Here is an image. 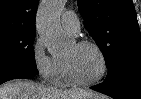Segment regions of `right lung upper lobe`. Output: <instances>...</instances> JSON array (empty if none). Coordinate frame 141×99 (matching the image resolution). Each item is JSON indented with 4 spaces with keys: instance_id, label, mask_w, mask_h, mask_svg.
<instances>
[{
    "instance_id": "cb5924a9",
    "label": "right lung upper lobe",
    "mask_w": 141,
    "mask_h": 99,
    "mask_svg": "<svg viewBox=\"0 0 141 99\" xmlns=\"http://www.w3.org/2000/svg\"><path fill=\"white\" fill-rule=\"evenodd\" d=\"M39 0H0V28L35 29Z\"/></svg>"
}]
</instances>
